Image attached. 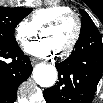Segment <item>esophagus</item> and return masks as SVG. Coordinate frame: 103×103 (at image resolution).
Wrapping results in <instances>:
<instances>
[{"mask_svg": "<svg viewBox=\"0 0 103 103\" xmlns=\"http://www.w3.org/2000/svg\"><path fill=\"white\" fill-rule=\"evenodd\" d=\"M30 60H31V64H32L33 66L36 65V64L39 62V60L36 59V58H31Z\"/></svg>", "mask_w": 103, "mask_h": 103, "instance_id": "obj_1", "label": "esophagus"}]
</instances>
